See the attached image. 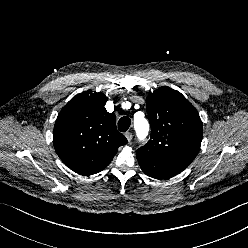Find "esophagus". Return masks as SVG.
I'll list each match as a JSON object with an SVG mask.
<instances>
[{
  "instance_id": "obj_1",
  "label": "esophagus",
  "mask_w": 248,
  "mask_h": 248,
  "mask_svg": "<svg viewBox=\"0 0 248 248\" xmlns=\"http://www.w3.org/2000/svg\"><path fill=\"white\" fill-rule=\"evenodd\" d=\"M125 137L127 138V140L130 142L132 140V134L130 132H125Z\"/></svg>"
}]
</instances>
